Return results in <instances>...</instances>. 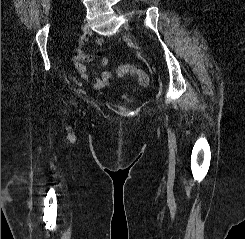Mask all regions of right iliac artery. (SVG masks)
Listing matches in <instances>:
<instances>
[{
  "label": "right iliac artery",
  "mask_w": 245,
  "mask_h": 239,
  "mask_svg": "<svg viewBox=\"0 0 245 239\" xmlns=\"http://www.w3.org/2000/svg\"><path fill=\"white\" fill-rule=\"evenodd\" d=\"M84 40H86V35L85 34L80 37L79 43L80 44H83L84 43Z\"/></svg>",
  "instance_id": "82829eb1"
}]
</instances>
